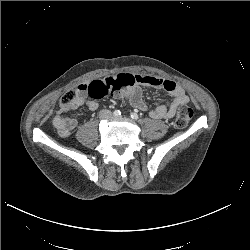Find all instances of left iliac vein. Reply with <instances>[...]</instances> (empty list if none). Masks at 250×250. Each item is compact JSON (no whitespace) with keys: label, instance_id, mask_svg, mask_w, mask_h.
<instances>
[{"label":"left iliac vein","instance_id":"4c4485c4","mask_svg":"<svg viewBox=\"0 0 250 250\" xmlns=\"http://www.w3.org/2000/svg\"><path fill=\"white\" fill-rule=\"evenodd\" d=\"M115 119H121L122 117H114Z\"/></svg>","mask_w":250,"mask_h":250}]
</instances>
